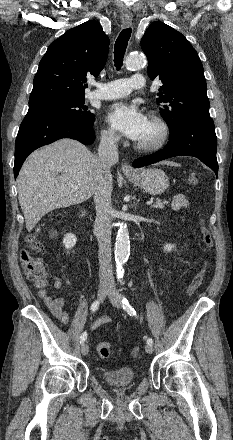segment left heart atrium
Returning <instances> with one entry per match:
<instances>
[{"label": "left heart atrium", "instance_id": "1", "mask_svg": "<svg viewBox=\"0 0 233 440\" xmlns=\"http://www.w3.org/2000/svg\"><path fill=\"white\" fill-rule=\"evenodd\" d=\"M106 120L115 130L133 140L140 139L148 123L146 116L135 105L124 102L111 105Z\"/></svg>", "mask_w": 233, "mask_h": 440}]
</instances>
